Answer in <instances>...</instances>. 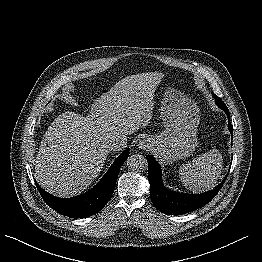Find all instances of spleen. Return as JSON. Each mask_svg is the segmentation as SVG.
I'll use <instances>...</instances> for the list:
<instances>
[{
  "mask_svg": "<svg viewBox=\"0 0 262 262\" xmlns=\"http://www.w3.org/2000/svg\"><path fill=\"white\" fill-rule=\"evenodd\" d=\"M223 158L217 149L210 150L179 168L183 185L191 191L212 187L221 174Z\"/></svg>",
  "mask_w": 262,
  "mask_h": 262,
  "instance_id": "spleen-1",
  "label": "spleen"
}]
</instances>
